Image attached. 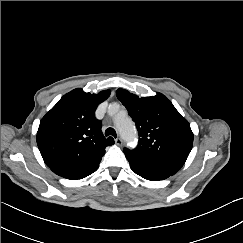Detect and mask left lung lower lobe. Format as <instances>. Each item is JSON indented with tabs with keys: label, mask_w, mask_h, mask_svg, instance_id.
Wrapping results in <instances>:
<instances>
[{
	"label": "left lung lower lobe",
	"mask_w": 243,
	"mask_h": 243,
	"mask_svg": "<svg viewBox=\"0 0 243 243\" xmlns=\"http://www.w3.org/2000/svg\"><path fill=\"white\" fill-rule=\"evenodd\" d=\"M124 153L133 172L147 180H164L183 166L177 162L140 156L131 151L124 150Z\"/></svg>",
	"instance_id": "left-lung-lower-lobe-1"
}]
</instances>
